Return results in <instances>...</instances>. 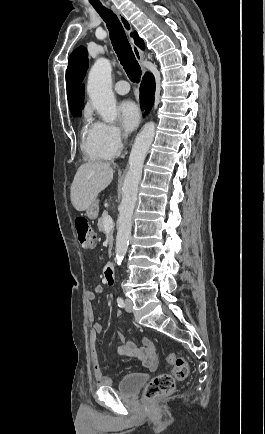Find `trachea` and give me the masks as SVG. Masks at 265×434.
<instances>
[{
	"label": "trachea",
	"mask_w": 265,
	"mask_h": 434,
	"mask_svg": "<svg viewBox=\"0 0 265 434\" xmlns=\"http://www.w3.org/2000/svg\"><path fill=\"white\" fill-rule=\"evenodd\" d=\"M92 5L106 22L113 48L129 79L132 82H139L141 67L132 52L131 45L117 16L111 10L103 7L101 3H92Z\"/></svg>",
	"instance_id": "obj_1"
}]
</instances>
